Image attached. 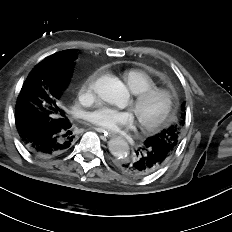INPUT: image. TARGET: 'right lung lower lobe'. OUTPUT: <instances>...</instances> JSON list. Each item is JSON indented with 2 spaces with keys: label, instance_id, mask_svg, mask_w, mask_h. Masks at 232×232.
<instances>
[{
  "label": "right lung lower lobe",
  "instance_id": "obj_1",
  "mask_svg": "<svg viewBox=\"0 0 232 232\" xmlns=\"http://www.w3.org/2000/svg\"><path fill=\"white\" fill-rule=\"evenodd\" d=\"M31 113L16 114V127L25 148L38 157H54L70 149L74 141L72 125L68 119L51 127L34 124L38 116L37 105L30 104Z\"/></svg>",
  "mask_w": 232,
  "mask_h": 232
}]
</instances>
